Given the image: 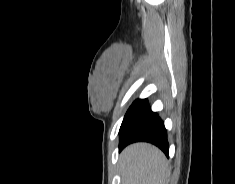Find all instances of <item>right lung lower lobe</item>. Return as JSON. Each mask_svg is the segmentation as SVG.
<instances>
[{
  "mask_svg": "<svg viewBox=\"0 0 235 184\" xmlns=\"http://www.w3.org/2000/svg\"><path fill=\"white\" fill-rule=\"evenodd\" d=\"M119 136V151L131 143L144 141L156 145L168 156L169 145L164 123L157 113L151 111L146 99H137L130 106Z\"/></svg>",
  "mask_w": 235,
  "mask_h": 184,
  "instance_id": "1",
  "label": "right lung lower lobe"
}]
</instances>
